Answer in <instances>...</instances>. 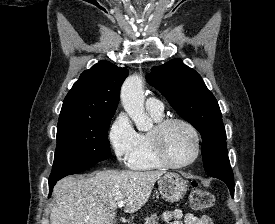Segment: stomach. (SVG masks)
<instances>
[{"instance_id":"stomach-1","label":"stomach","mask_w":275,"mask_h":224,"mask_svg":"<svg viewBox=\"0 0 275 224\" xmlns=\"http://www.w3.org/2000/svg\"><path fill=\"white\" fill-rule=\"evenodd\" d=\"M160 195L169 202L182 199L187 191V182L176 173H167L158 181Z\"/></svg>"}]
</instances>
